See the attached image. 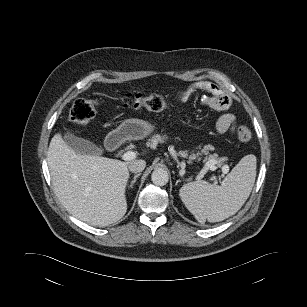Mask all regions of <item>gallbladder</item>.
Instances as JSON below:
<instances>
[{
  "mask_svg": "<svg viewBox=\"0 0 307 307\" xmlns=\"http://www.w3.org/2000/svg\"><path fill=\"white\" fill-rule=\"evenodd\" d=\"M64 141L70 146L75 152L84 155H100L103 153V149L99 148L93 142L78 137L73 133L67 132L63 136Z\"/></svg>",
  "mask_w": 307,
  "mask_h": 307,
  "instance_id": "gallbladder-1",
  "label": "gallbladder"
}]
</instances>
